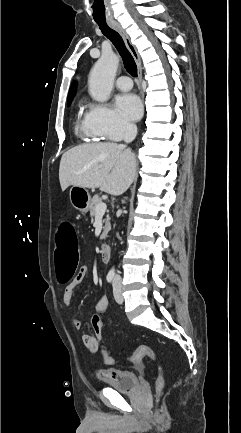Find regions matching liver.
I'll use <instances>...</instances> for the list:
<instances>
[{
  "label": "liver",
  "mask_w": 241,
  "mask_h": 433,
  "mask_svg": "<svg viewBox=\"0 0 241 433\" xmlns=\"http://www.w3.org/2000/svg\"><path fill=\"white\" fill-rule=\"evenodd\" d=\"M136 176V156L117 143L83 144L65 152L60 161L62 191L69 186L99 188L110 195L123 194Z\"/></svg>",
  "instance_id": "liver-1"
}]
</instances>
